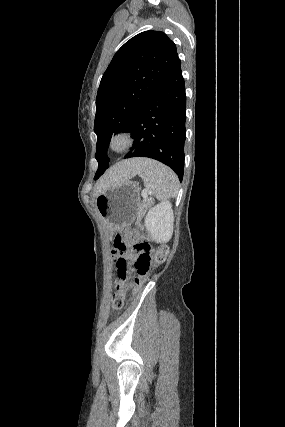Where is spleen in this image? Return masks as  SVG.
Returning <instances> with one entry per match:
<instances>
[{
    "label": "spleen",
    "instance_id": "obj_1",
    "mask_svg": "<svg viewBox=\"0 0 285 427\" xmlns=\"http://www.w3.org/2000/svg\"><path fill=\"white\" fill-rule=\"evenodd\" d=\"M147 190L153 192L158 200L166 201L176 196L179 180L176 174L164 164L145 159L138 171Z\"/></svg>",
    "mask_w": 285,
    "mask_h": 427
}]
</instances>
